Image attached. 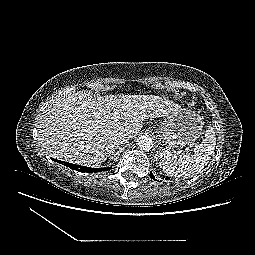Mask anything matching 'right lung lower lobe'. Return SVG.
I'll list each match as a JSON object with an SVG mask.
<instances>
[{
    "instance_id": "98d812e1",
    "label": "right lung lower lobe",
    "mask_w": 255,
    "mask_h": 255,
    "mask_svg": "<svg viewBox=\"0 0 255 255\" xmlns=\"http://www.w3.org/2000/svg\"><path fill=\"white\" fill-rule=\"evenodd\" d=\"M52 160H54L62 165H65L67 167H70L71 169L79 171V172L96 173V172L107 171V170L111 169V167H107V168L85 167V166H80V165H76V164H72V163H68V162H64V161H59L54 158H52Z\"/></svg>"
}]
</instances>
